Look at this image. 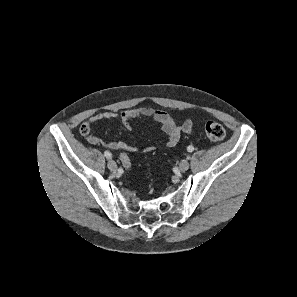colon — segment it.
Wrapping results in <instances>:
<instances>
[{"label": "colon", "instance_id": "5ec220e1", "mask_svg": "<svg viewBox=\"0 0 297 297\" xmlns=\"http://www.w3.org/2000/svg\"><path fill=\"white\" fill-rule=\"evenodd\" d=\"M90 131H91V127L89 126L88 123H85L81 126V133L83 135L90 134ZM205 133L210 140L216 141V142L223 140L226 135V131L224 127L216 121H208L206 123ZM119 159L121 161L124 171L126 172L131 171L132 165L130 163V159L127 153L125 152L120 153Z\"/></svg>", "mask_w": 297, "mask_h": 297}]
</instances>
